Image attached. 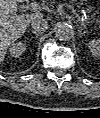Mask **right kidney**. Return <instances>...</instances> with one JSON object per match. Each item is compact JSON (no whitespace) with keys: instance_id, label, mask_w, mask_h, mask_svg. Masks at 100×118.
<instances>
[{"instance_id":"right-kidney-1","label":"right kidney","mask_w":100,"mask_h":118,"mask_svg":"<svg viewBox=\"0 0 100 118\" xmlns=\"http://www.w3.org/2000/svg\"><path fill=\"white\" fill-rule=\"evenodd\" d=\"M25 50H26V44L22 41L13 43L9 48L11 57L15 58L20 57Z\"/></svg>"}]
</instances>
